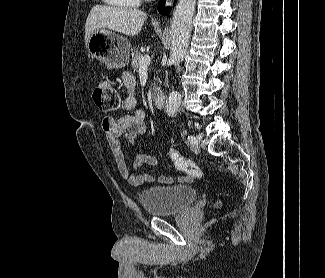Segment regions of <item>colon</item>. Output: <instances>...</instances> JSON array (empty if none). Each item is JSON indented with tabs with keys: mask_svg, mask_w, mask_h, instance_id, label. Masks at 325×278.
<instances>
[{
	"mask_svg": "<svg viewBox=\"0 0 325 278\" xmlns=\"http://www.w3.org/2000/svg\"><path fill=\"white\" fill-rule=\"evenodd\" d=\"M92 97L96 107L103 112L117 111L121 106V96L109 81H99L94 87ZM168 154L175 168L185 173L184 180L204 176L201 167L184 158L176 149L170 148Z\"/></svg>",
	"mask_w": 325,
	"mask_h": 278,
	"instance_id": "1",
	"label": "colon"
}]
</instances>
